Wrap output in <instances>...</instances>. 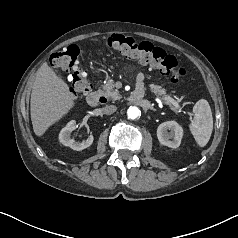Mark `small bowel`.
Masks as SVG:
<instances>
[{"instance_id": "c3829d8e", "label": "small bowel", "mask_w": 238, "mask_h": 238, "mask_svg": "<svg viewBox=\"0 0 238 238\" xmlns=\"http://www.w3.org/2000/svg\"><path fill=\"white\" fill-rule=\"evenodd\" d=\"M147 78V74L146 73H140L137 77V85H142L144 83V80Z\"/></svg>"}]
</instances>
